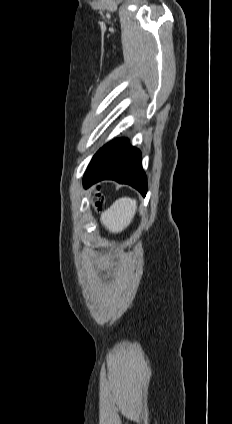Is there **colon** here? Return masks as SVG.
Returning a JSON list of instances; mask_svg holds the SVG:
<instances>
[{"instance_id":"obj_1","label":"colon","mask_w":232,"mask_h":424,"mask_svg":"<svg viewBox=\"0 0 232 424\" xmlns=\"http://www.w3.org/2000/svg\"><path fill=\"white\" fill-rule=\"evenodd\" d=\"M103 203H104L103 196H102V194L100 193V191H99L98 189H96V190H95L94 197H93V205H94V208H95L96 210H100V209L102 208V206H103Z\"/></svg>"}]
</instances>
